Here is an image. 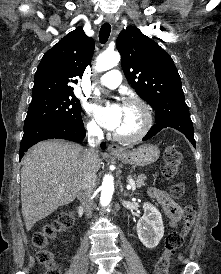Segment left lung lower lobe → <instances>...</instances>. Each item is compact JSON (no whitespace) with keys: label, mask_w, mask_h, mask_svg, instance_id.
<instances>
[{"label":"left lung lower lobe","mask_w":221,"mask_h":274,"mask_svg":"<svg viewBox=\"0 0 221 274\" xmlns=\"http://www.w3.org/2000/svg\"><path fill=\"white\" fill-rule=\"evenodd\" d=\"M155 121L156 124L151 127L146 136L142 139L143 141L152 138L163 128L171 127L182 132L196 148V143L193 135V124L186 103H180L175 107L164 111L163 113L157 114L155 116Z\"/></svg>","instance_id":"obj_1"}]
</instances>
